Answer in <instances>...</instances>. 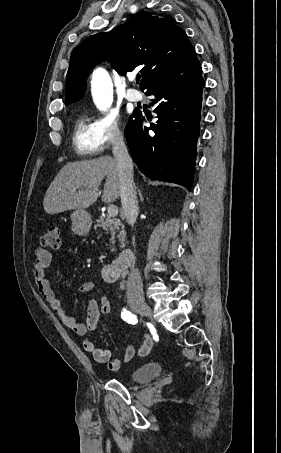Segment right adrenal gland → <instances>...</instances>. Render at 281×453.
<instances>
[{
  "mask_svg": "<svg viewBox=\"0 0 281 453\" xmlns=\"http://www.w3.org/2000/svg\"><path fill=\"white\" fill-rule=\"evenodd\" d=\"M137 190H138V194L140 196V200H141V202H143L144 196H142V192H141L140 188H138V186H137Z\"/></svg>",
  "mask_w": 281,
  "mask_h": 453,
  "instance_id": "1",
  "label": "right adrenal gland"
}]
</instances>
